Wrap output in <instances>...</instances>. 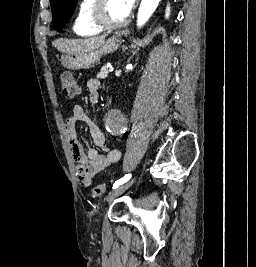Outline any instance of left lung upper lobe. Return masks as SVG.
<instances>
[{
  "label": "left lung upper lobe",
  "mask_w": 256,
  "mask_h": 267,
  "mask_svg": "<svg viewBox=\"0 0 256 267\" xmlns=\"http://www.w3.org/2000/svg\"><path fill=\"white\" fill-rule=\"evenodd\" d=\"M78 0H51L53 23L57 30L72 16Z\"/></svg>",
  "instance_id": "5c2ea615"
}]
</instances>
